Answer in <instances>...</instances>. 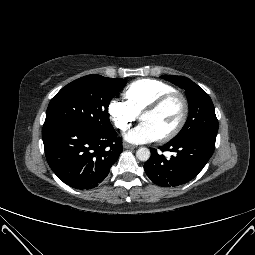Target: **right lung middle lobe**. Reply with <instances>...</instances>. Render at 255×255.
I'll use <instances>...</instances> for the list:
<instances>
[{
	"mask_svg": "<svg viewBox=\"0 0 255 255\" xmlns=\"http://www.w3.org/2000/svg\"><path fill=\"white\" fill-rule=\"evenodd\" d=\"M126 80L92 74L72 81L50 101L44 126L72 123L95 132L113 129L108 106Z\"/></svg>",
	"mask_w": 255,
	"mask_h": 255,
	"instance_id": "obj_1",
	"label": "right lung middle lobe"
}]
</instances>
